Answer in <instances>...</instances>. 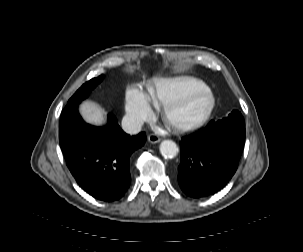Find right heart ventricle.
<instances>
[{
  "label": "right heart ventricle",
  "mask_w": 303,
  "mask_h": 252,
  "mask_svg": "<svg viewBox=\"0 0 303 252\" xmlns=\"http://www.w3.org/2000/svg\"><path fill=\"white\" fill-rule=\"evenodd\" d=\"M201 86L197 80H162L154 88L145 93L152 105H168L184 99Z\"/></svg>",
  "instance_id": "1"
}]
</instances>
